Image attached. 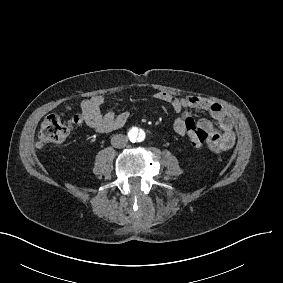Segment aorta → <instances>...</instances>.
<instances>
[{"instance_id": "aorta-1", "label": "aorta", "mask_w": 283, "mask_h": 283, "mask_svg": "<svg viewBox=\"0 0 283 283\" xmlns=\"http://www.w3.org/2000/svg\"><path fill=\"white\" fill-rule=\"evenodd\" d=\"M128 137L131 142L136 143L144 141L146 134L144 130L138 127H132L128 132Z\"/></svg>"}]
</instances>
